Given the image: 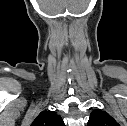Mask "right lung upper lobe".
Listing matches in <instances>:
<instances>
[{
  "label": "right lung upper lobe",
  "mask_w": 127,
  "mask_h": 126,
  "mask_svg": "<svg viewBox=\"0 0 127 126\" xmlns=\"http://www.w3.org/2000/svg\"><path fill=\"white\" fill-rule=\"evenodd\" d=\"M31 126H65L60 115L53 111H42Z\"/></svg>",
  "instance_id": "right-lung-upper-lobe-1"
}]
</instances>
